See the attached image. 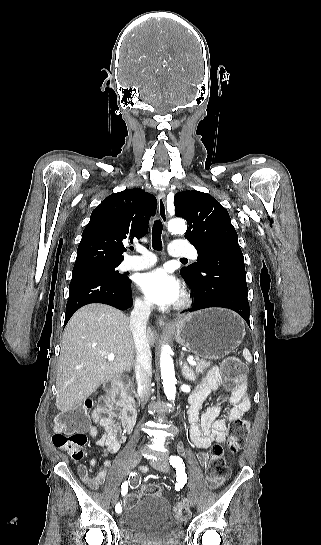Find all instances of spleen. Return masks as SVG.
<instances>
[{
    "instance_id": "1",
    "label": "spleen",
    "mask_w": 321,
    "mask_h": 545,
    "mask_svg": "<svg viewBox=\"0 0 321 545\" xmlns=\"http://www.w3.org/2000/svg\"><path fill=\"white\" fill-rule=\"evenodd\" d=\"M243 357L248 363H252V355L248 349H243Z\"/></svg>"
}]
</instances>
